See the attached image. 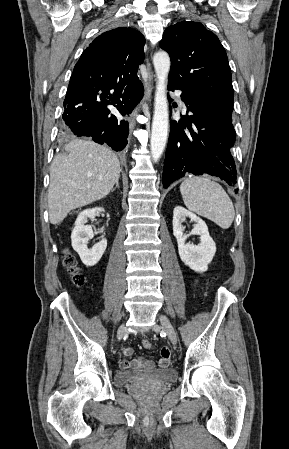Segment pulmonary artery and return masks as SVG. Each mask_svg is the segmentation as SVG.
<instances>
[{"mask_svg": "<svg viewBox=\"0 0 289 449\" xmlns=\"http://www.w3.org/2000/svg\"><path fill=\"white\" fill-rule=\"evenodd\" d=\"M179 95V94H178ZM182 106L184 107V109H186V105L183 101H181Z\"/></svg>", "mask_w": 289, "mask_h": 449, "instance_id": "e3ab8cb5", "label": "pulmonary artery"}]
</instances>
